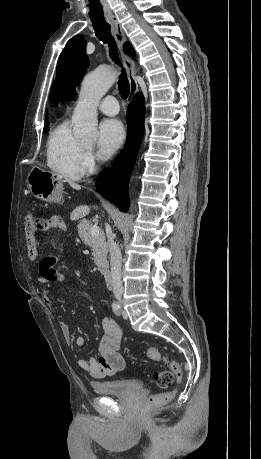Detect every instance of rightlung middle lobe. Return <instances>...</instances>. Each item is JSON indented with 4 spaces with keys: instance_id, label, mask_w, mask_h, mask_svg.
<instances>
[{
    "instance_id": "obj_1",
    "label": "right lung middle lobe",
    "mask_w": 261,
    "mask_h": 459,
    "mask_svg": "<svg viewBox=\"0 0 261 459\" xmlns=\"http://www.w3.org/2000/svg\"><path fill=\"white\" fill-rule=\"evenodd\" d=\"M49 131V128H48V123L45 124V127H44V133H47Z\"/></svg>"
}]
</instances>
